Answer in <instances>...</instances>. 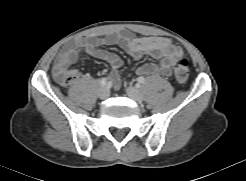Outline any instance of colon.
<instances>
[{
  "label": "colon",
  "instance_id": "colon-1",
  "mask_svg": "<svg viewBox=\"0 0 246 181\" xmlns=\"http://www.w3.org/2000/svg\"><path fill=\"white\" fill-rule=\"evenodd\" d=\"M173 72L176 82L179 84H185L189 77V67L187 59L184 57L178 58L175 61ZM56 77L61 84L70 85L75 81L76 73L71 70H63L57 72Z\"/></svg>",
  "mask_w": 246,
  "mask_h": 181
}]
</instances>
